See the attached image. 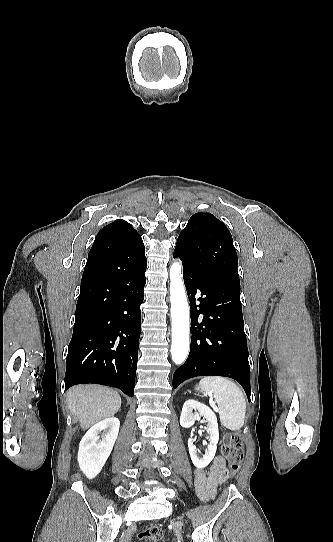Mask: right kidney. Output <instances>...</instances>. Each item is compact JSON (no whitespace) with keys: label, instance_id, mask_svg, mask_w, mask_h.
I'll return each instance as SVG.
<instances>
[{"label":"right kidney","instance_id":"obj_1","mask_svg":"<svg viewBox=\"0 0 333 542\" xmlns=\"http://www.w3.org/2000/svg\"><path fill=\"white\" fill-rule=\"evenodd\" d=\"M120 422L118 418H106L94 424L79 444L78 464L88 480L100 474L117 440ZM99 434H102L101 440Z\"/></svg>","mask_w":333,"mask_h":542}]
</instances>
